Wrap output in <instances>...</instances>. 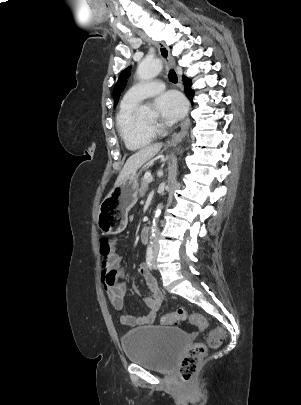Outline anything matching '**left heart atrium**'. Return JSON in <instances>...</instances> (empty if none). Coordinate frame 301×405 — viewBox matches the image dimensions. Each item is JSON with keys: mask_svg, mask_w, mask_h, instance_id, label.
<instances>
[{"mask_svg": "<svg viewBox=\"0 0 301 405\" xmlns=\"http://www.w3.org/2000/svg\"><path fill=\"white\" fill-rule=\"evenodd\" d=\"M155 107L160 117L167 122L181 119L187 109L183 96L176 91H167L155 99Z\"/></svg>", "mask_w": 301, "mask_h": 405, "instance_id": "39dd6f15", "label": "left heart atrium"}]
</instances>
